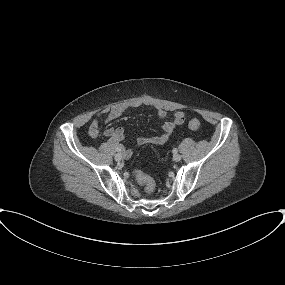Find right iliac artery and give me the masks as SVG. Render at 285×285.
I'll use <instances>...</instances> for the list:
<instances>
[{
    "instance_id": "obj_1",
    "label": "right iliac artery",
    "mask_w": 285,
    "mask_h": 285,
    "mask_svg": "<svg viewBox=\"0 0 285 285\" xmlns=\"http://www.w3.org/2000/svg\"><path fill=\"white\" fill-rule=\"evenodd\" d=\"M116 151H117V152H120V151H121V149H120L119 147H117V148H116Z\"/></svg>"
}]
</instances>
